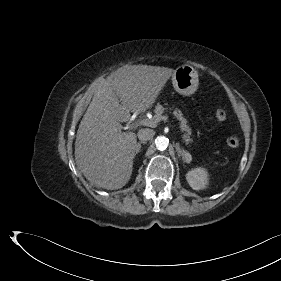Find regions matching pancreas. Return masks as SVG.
I'll return each instance as SVG.
<instances>
[{"mask_svg":"<svg viewBox=\"0 0 281 281\" xmlns=\"http://www.w3.org/2000/svg\"><path fill=\"white\" fill-rule=\"evenodd\" d=\"M165 110L166 108H164L161 104H157L154 109L155 115L153 120L156 121L157 123L160 122L162 120V114L164 113ZM173 114L180 121L179 128L181 132L184 133L182 136L183 140L187 144L189 142H192V139L190 138L192 129L188 126L187 120L183 117L182 112L178 109H175Z\"/></svg>","mask_w":281,"mask_h":281,"instance_id":"cf45deb5","label":"pancreas"}]
</instances>
